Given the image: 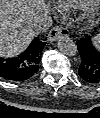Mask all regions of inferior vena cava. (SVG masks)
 <instances>
[{"label": "inferior vena cava", "instance_id": "obj_1", "mask_svg": "<svg viewBox=\"0 0 100 118\" xmlns=\"http://www.w3.org/2000/svg\"><path fill=\"white\" fill-rule=\"evenodd\" d=\"M52 26V18L51 17H42L39 20H36L32 24V29L36 34H40L46 32Z\"/></svg>", "mask_w": 100, "mask_h": 118}]
</instances>
